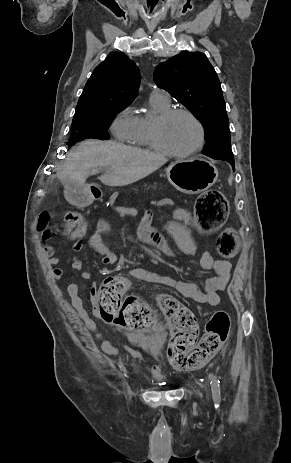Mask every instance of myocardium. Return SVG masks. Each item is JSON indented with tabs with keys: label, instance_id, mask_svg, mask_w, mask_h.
<instances>
[{
	"label": "myocardium",
	"instance_id": "obj_1",
	"mask_svg": "<svg viewBox=\"0 0 291 463\" xmlns=\"http://www.w3.org/2000/svg\"><path fill=\"white\" fill-rule=\"evenodd\" d=\"M178 115H184L189 117L198 127L199 130V139L198 142L195 146L192 148L183 151V152H177L172 149H170L168 146H166L162 139H161V128L162 126L171 120L172 118L178 116ZM205 127L201 120L191 111L183 108H171L168 109L162 113H160L155 119H153L151 123V143L152 146L154 147L155 150L159 151L160 153L174 157V158H186L189 157L197 152H199L204 144H205Z\"/></svg>",
	"mask_w": 291,
	"mask_h": 463
}]
</instances>
